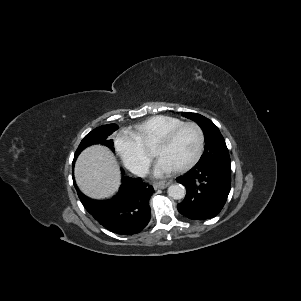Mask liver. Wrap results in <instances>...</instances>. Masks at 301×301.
Instances as JSON below:
<instances>
[{"label": "liver", "mask_w": 301, "mask_h": 301, "mask_svg": "<svg viewBox=\"0 0 301 301\" xmlns=\"http://www.w3.org/2000/svg\"><path fill=\"white\" fill-rule=\"evenodd\" d=\"M75 180L88 197L112 196L120 186V169L113 153L102 145L86 148L75 164Z\"/></svg>", "instance_id": "6515ba94"}]
</instances>
